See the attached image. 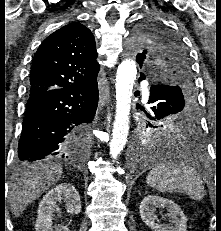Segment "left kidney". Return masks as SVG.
Wrapping results in <instances>:
<instances>
[{
	"instance_id": "obj_1",
	"label": "left kidney",
	"mask_w": 221,
	"mask_h": 231,
	"mask_svg": "<svg viewBox=\"0 0 221 231\" xmlns=\"http://www.w3.org/2000/svg\"><path fill=\"white\" fill-rule=\"evenodd\" d=\"M168 211L169 224H158L157 209ZM140 216L142 221L153 231H186L187 218L181 208L172 200L156 195H148L140 204Z\"/></svg>"
}]
</instances>
